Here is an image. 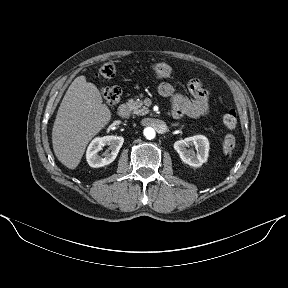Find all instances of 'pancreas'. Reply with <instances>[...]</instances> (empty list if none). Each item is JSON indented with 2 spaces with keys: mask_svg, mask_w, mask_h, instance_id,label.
<instances>
[{
  "mask_svg": "<svg viewBox=\"0 0 288 288\" xmlns=\"http://www.w3.org/2000/svg\"><path fill=\"white\" fill-rule=\"evenodd\" d=\"M127 105L130 107L133 114L143 116L149 113L148 108L144 106L143 101L140 99L137 100L130 99L127 102Z\"/></svg>",
  "mask_w": 288,
  "mask_h": 288,
  "instance_id": "pancreas-1",
  "label": "pancreas"
}]
</instances>
